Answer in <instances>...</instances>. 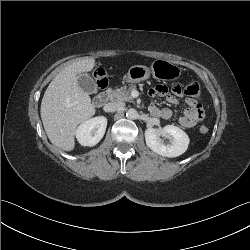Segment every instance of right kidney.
I'll return each mask as SVG.
<instances>
[{"label": "right kidney", "instance_id": "1", "mask_svg": "<svg viewBox=\"0 0 250 250\" xmlns=\"http://www.w3.org/2000/svg\"><path fill=\"white\" fill-rule=\"evenodd\" d=\"M107 127V119L103 116L94 117L82 122L76 132L78 142L83 146H95L103 138Z\"/></svg>", "mask_w": 250, "mask_h": 250}]
</instances>
